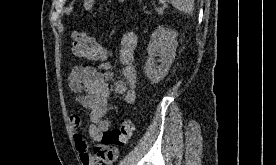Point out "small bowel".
Instances as JSON below:
<instances>
[{
  "instance_id": "obj_1",
  "label": "small bowel",
  "mask_w": 276,
  "mask_h": 165,
  "mask_svg": "<svg viewBox=\"0 0 276 165\" xmlns=\"http://www.w3.org/2000/svg\"><path fill=\"white\" fill-rule=\"evenodd\" d=\"M137 43V36L133 32H126L120 38L118 59L122 65L123 78L114 81L113 88L116 94L123 96L127 104H133L136 100L137 71L134 52ZM112 76L109 63L76 66L68 76V86L77 94V102L89 111L91 123L88 132L98 142L94 151H91L81 133L80 116L74 114L70 117V127L82 165H112L117 158L115 149L110 150L100 144L102 135L112 126L110 119L106 117L110 94L108 83Z\"/></svg>"
}]
</instances>
